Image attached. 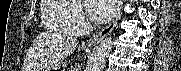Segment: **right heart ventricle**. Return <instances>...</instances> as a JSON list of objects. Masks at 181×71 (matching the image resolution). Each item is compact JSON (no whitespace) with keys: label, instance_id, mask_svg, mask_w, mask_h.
I'll use <instances>...</instances> for the list:
<instances>
[{"label":"right heart ventricle","instance_id":"right-heart-ventricle-1","mask_svg":"<svg viewBox=\"0 0 181 71\" xmlns=\"http://www.w3.org/2000/svg\"><path fill=\"white\" fill-rule=\"evenodd\" d=\"M74 5L65 0H45L41 8L44 25L53 31L64 34H77L69 22Z\"/></svg>","mask_w":181,"mask_h":71}]
</instances>
